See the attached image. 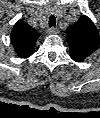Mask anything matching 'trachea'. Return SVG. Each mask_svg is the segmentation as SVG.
Masks as SVG:
<instances>
[{"mask_svg": "<svg viewBox=\"0 0 100 118\" xmlns=\"http://www.w3.org/2000/svg\"><path fill=\"white\" fill-rule=\"evenodd\" d=\"M55 24H56V18L55 16L51 15L49 17V27L55 26Z\"/></svg>", "mask_w": 100, "mask_h": 118, "instance_id": "1", "label": "trachea"}]
</instances>
